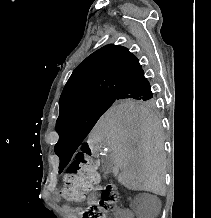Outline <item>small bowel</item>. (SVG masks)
I'll return each instance as SVG.
<instances>
[{
  "mask_svg": "<svg viewBox=\"0 0 211 218\" xmlns=\"http://www.w3.org/2000/svg\"><path fill=\"white\" fill-rule=\"evenodd\" d=\"M99 191H101V186L96 185L94 187L92 193L88 197V203H92V202L98 200ZM53 196H54V199L56 201H60L62 199L61 192L59 190L54 191ZM65 209L72 215L76 214V209L75 208L66 206ZM116 216H117V218H134V213H133V211L131 209L121 208V209L117 210ZM75 218H76V216H75Z\"/></svg>",
  "mask_w": 211,
  "mask_h": 218,
  "instance_id": "small-bowel-1",
  "label": "small bowel"
}]
</instances>
